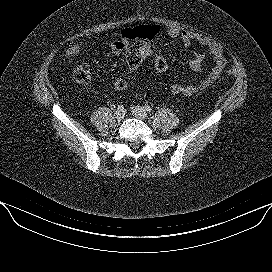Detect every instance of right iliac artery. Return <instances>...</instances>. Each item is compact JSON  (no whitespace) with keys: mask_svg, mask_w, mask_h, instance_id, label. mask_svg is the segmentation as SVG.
Returning a JSON list of instances; mask_svg holds the SVG:
<instances>
[{"mask_svg":"<svg viewBox=\"0 0 272 272\" xmlns=\"http://www.w3.org/2000/svg\"><path fill=\"white\" fill-rule=\"evenodd\" d=\"M117 109L123 111L124 107L123 105H118Z\"/></svg>","mask_w":272,"mask_h":272,"instance_id":"obj_1","label":"right iliac artery"}]
</instances>
